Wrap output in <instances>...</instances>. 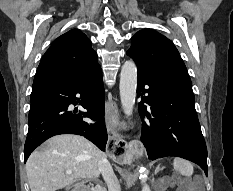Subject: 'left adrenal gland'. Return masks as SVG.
<instances>
[{
    "mask_svg": "<svg viewBox=\"0 0 233 191\" xmlns=\"http://www.w3.org/2000/svg\"><path fill=\"white\" fill-rule=\"evenodd\" d=\"M159 170H161L160 165L157 166V168H156V170H155V174H156Z\"/></svg>",
    "mask_w": 233,
    "mask_h": 191,
    "instance_id": "left-adrenal-gland-1",
    "label": "left adrenal gland"
}]
</instances>
